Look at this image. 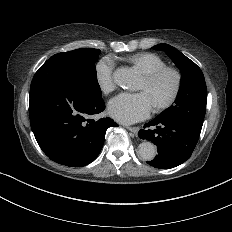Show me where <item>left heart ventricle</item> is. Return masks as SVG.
I'll return each mask as SVG.
<instances>
[{"mask_svg":"<svg viewBox=\"0 0 232 232\" xmlns=\"http://www.w3.org/2000/svg\"><path fill=\"white\" fill-rule=\"evenodd\" d=\"M175 86V78L171 73L163 74L153 85H147L144 79L141 80L137 90L145 91L155 108L165 102Z\"/></svg>","mask_w":232,"mask_h":232,"instance_id":"b2bd125f","label":"left heart ventricle"}]
</instances>
